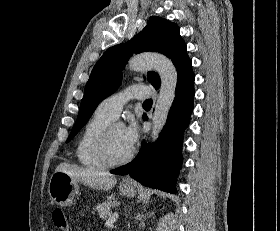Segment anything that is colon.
Returning <instances> with one entry per match:
<instances>
[{
	"label": "colon",
	"instance_id": "colon-1",
	"mask_svg": "<svg viewBox=\"0 0 280 231\" xmlns=\"http://www.w3.org/2000/svg\"><path fill=\"white\" fill-rule=\"evenodd\" d=\"M52 219L55 220V225H61V228H59V231H72V225H66L67 221L62 220L63 219V212L62 211H53L52 212Z\"/></svg>",
	"mask_w": 280,
	"mask_h": 231
}]
</instances>
